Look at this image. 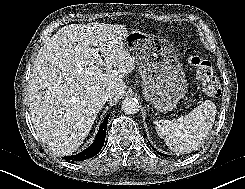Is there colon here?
<instances>
[{
	"label": "colon",
	"mask_w": 245,
	"mask_h": 189,
	"mask_svg": "<svg viewBox=\"0 0 245 189\" xmlns=\"http://www.w3.org/2000/svg\"><path fill=\"white\" fill-rule=\"evenodd\" d=\"M189 64L195 70L206 90L211 92L219 90V80L214 75L212 65L207 60L194 56L189 59Z\"/></svg>",
	"instance_id": "1"
}]
</instances>
